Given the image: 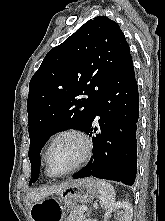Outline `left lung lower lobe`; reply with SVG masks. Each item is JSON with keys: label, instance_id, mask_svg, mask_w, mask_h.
<instances>
[{"label": "left lung lower lobe", "instance_id": "1", "mask_svg": "<svg viewBox=\"0 0 165 221\" xmlns=\"http://www.w3.org/2000/svg\"><path fill=\"white\" fill-rule=\"evenodd\" d=\"M99 116L97 127L93 121ZM139 94L131 56L100 95L83 131L93 136V157L73 178L94 176L133 185L137 168Z\"/></svg>", "mask_w": 165, "mask_h": 221}]
</instances>
